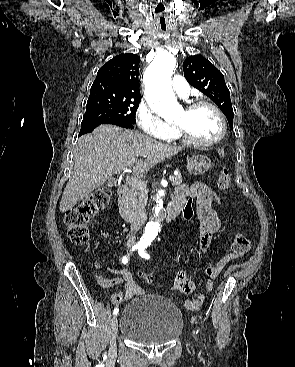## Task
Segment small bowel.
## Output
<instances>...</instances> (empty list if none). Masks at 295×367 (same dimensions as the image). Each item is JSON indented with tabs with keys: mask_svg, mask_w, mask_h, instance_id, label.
Here are the masks:
<instances>
[{
	"mask_svg": "<svg viewBox=\"0 0 295 367\" xmlns=\"http://www.w3.org/2000/svg\"><path fill=\"white\" fill-rule=\"evenodd\" d=\"M195 196L196 214L200 221L199 239L197 244V253L202 256L208 250L213 235L221 227V215L219 210L214 206L215 193L201 182H194L192 184H181L176 187L174 192V199L181 201L184 204L187 202V196ZM96 270L101 268V262L95 263ZM217 265L207 266L204 269L205 289L207 293L211 292L214 286L213 280L221 273ZM96 280L102 287H110L117 284H124L123 290L111 296L113 304H122L132 297L144 294V290L139 287L133 280L132 274L129 270L123 269L121 277L115 279H105L98 272H96ZM175 289L181 293L189 294L194 289V282L189 279L187 272L180 270L177 272L174 283ZM206 299L205 293H199L194 298L183 300V304L189 311H197L203 305Z\"/></svg>",
	"mask_w": 295,
	"mask_h": 367,
	"instance_id": "c3829d8e",
	"label": "small bowel"
}]
</instances>
